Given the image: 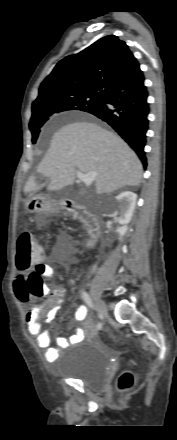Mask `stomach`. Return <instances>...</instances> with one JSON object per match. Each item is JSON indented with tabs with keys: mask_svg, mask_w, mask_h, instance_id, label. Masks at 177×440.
Returning <instances> with one entry per match:
<instances>
[{
	"mask_svg": "<svg viewBox=\"0 0 177 440\" xmlns=\"http://www.w3.org/2000/svg\"><path fill=\"white\" fill-rule=\"evenodd\" d=\"M25 210L37 216L55 214L59 211L57 201L42 194L30 196L25 203Z\"/></svg>",
	"mask_w": 177,
	"mask_h": 440,
	"instance_id": "1",
	"label": "stomach"
}]
</instances>
